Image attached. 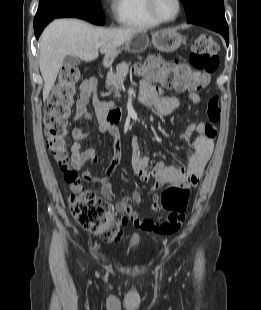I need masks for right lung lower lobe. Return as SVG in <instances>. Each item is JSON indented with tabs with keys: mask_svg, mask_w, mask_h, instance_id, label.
<instances>
[{
	"mask_svg": "<svg viewBox=\"0 0 261 310\" xmlns=\"http://www.w3.org/2000/svg\"><path fill=\"white\" fill-rule=\"evenodd\" d=\"M53 19H50V20H47V21H44L42 22L41 24L37 25V26H34V31H35V35L37 37V39L39 38L40 34L42 33L44 27L49 23L51 22Z\"/></svg>",
	"mask_w": 261,
	"mask_h": 310,
	"instance_id": "1",
	"label": "right lung lower lobe"
}]
</instances>
